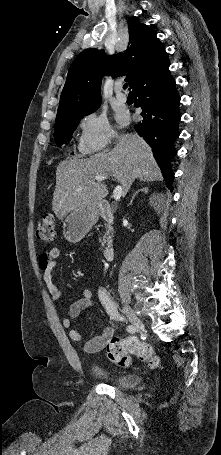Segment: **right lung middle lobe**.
<instances>
[{
	"mask_svg": "<svg viewBox=\"0 0 221 455\" xmlns=\"http://www.w3.org/2000/svg\"><path fill=\"white\" fill-rule=\"evenodd\" d=\"M100 104L86 111L65 115L55 121L54 138L58 146L71 140L72 134L84 115H88L99 108Z\"/></svg>",
	"mask_w": 221,
	"mask_h": 455,
	"instance_id": "right-lung-middle-lobe-1",
	"label": "right lung middle lobe"
}]
</instances>
